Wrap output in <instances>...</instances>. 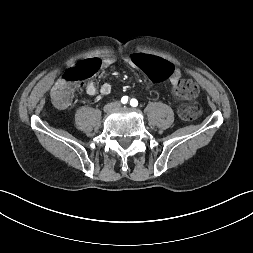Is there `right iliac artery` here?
<instances>
[{
    "label": "right iliac artery",
    "mask_w": 253,
    "mask_h": 253,
    "mask_svg": "<svg viewBox=\"0 0 253 253\" xmlns=\"http://www.w3.org/2000/svg\"><path fill=\"white\" fill-rule=\"evenodd\" d=\"M121 102H122L123 104H126V103L128 102V96H123V97L121 98Z\"/></svg>",
    "instance_id": "right-iliac-artery-1"
}]
</instances>
